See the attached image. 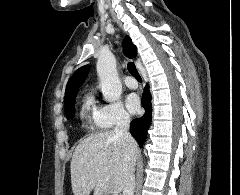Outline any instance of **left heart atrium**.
Here are the masks:
<instances>
[{
	"mask_svg": "<svg viewBox=\"0 0 240 195\" xmlns=\"http://www.w3.org/2000/svg\"><path fill=\"white\" fill-rule=\"evenodd\" d=\"M128 105L134 113L140 110V100L137 94H131L129 96Z\"/></svg>",
	"mask_w": 240,
	"mask_h": 195,
	"instance_id": "1",
	"label": "left heart atrium"
}]
</instances>
